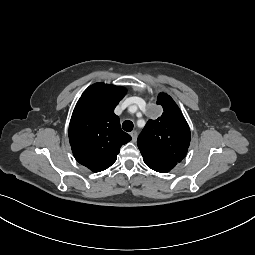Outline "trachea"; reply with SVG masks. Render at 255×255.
Returning a JSON list of instances; mask_svg holds the SVG:
<instances>
[{
    "label": "trachea",
    "instance_id": "3493384b",
    "mask_svg": "<svg viewBox=\"0 0 255 255\" xmlns=\"http://www.w3.org/2000/svg\"><path fill=\"white\" fill-rule=\"evenodd\" d=\"M133 122L132 121H129V120H126L123 122L122 124V128L126 131V132H130L133 130Z\"/></svg>",
    "mask_w": 255,
    "mask_h": 255
}]
</instances>
